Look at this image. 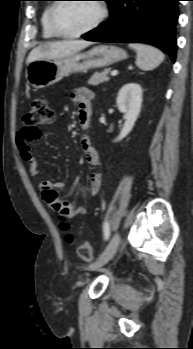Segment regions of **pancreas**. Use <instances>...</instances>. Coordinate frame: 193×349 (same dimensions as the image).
<instances>
[{"label":"pancreas","mask_w":193,"mask_h":349,"mask_svg":"<svg viewBox=\"0 0 193 349\" xmlns=\"http://www.w3.org/2000/svg\"><path fill=\"white\" fill-rule=\"evenodd\" d=\"M110 68H106L101 72H96L92 75V77L88 80V84L97 86L100 83H104L109 80L108 73L110 72Z\"/></svg>","instance_id":"obj_1"}]
</instances>
